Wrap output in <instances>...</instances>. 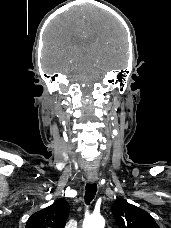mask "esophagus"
<instances>
[{
    "instance_id": "obj_1",
    "label": "esophagus",
    "mask_w": 171,
    "mask_h": 228,
    "mask_svg": "<svg viewBox=\"0 0 171 228\" xmlns=\"http://www.w3.org/2000/svg\"><path fill=\"white\" fill-rule=\"evenodd\" d=\"M87 179H88V182L90 184H94L97 181V176L96 175H90V176H88Z\"/></svg>"
}]
</instances>
